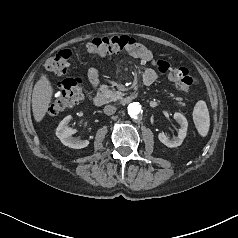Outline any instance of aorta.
<instances>
[{
    "mask_svg": "<svg viewBox=\"0 0 238 238\" xmlns=\"http://www.w3.org/2000/svg\"><path fill=\"white\" fill-rule=\"evenodd\" d=\"M142 106L139 102H133L128 105V114L132 118L138 117L140 114H142Z\"/></svg>",
    "mask_w": 238,
    "mask_h": 238,
    "instance_id": "762f6f07",
    "label": "aorta"
}]
</instances>
